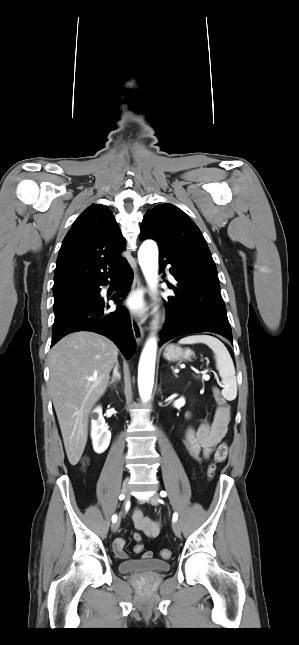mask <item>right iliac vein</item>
I'll list each match as a JSON object with an SVG mask.
<instances>
[{"mask_svg":"<svg viewBox=\"0 0 299 645\" xmlns=\"http://www.w3.org/2000/svg\"><path fill=\"white\" fill-rule=\"evenodd\" d=\"M122 494L125 496V501H128V500H129V498H130V487H129L128 479H126V480L123 482V485H122ZM119 525H120V521H119V520H118V521H116V522H114V523L111 525V530H112V532H116V531L118 530V528H119Z\"/></svg>","mask_w":299,"mask_h":645,"instance_id":"obj_1","label":"right iliac vein"}]
</instances>
